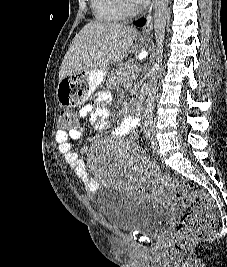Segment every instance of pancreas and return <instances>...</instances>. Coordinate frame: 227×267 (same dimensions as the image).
Returning <instances> with one entry per match:
<instances>
[{
	"label": "pancreas",
	"instance_id": "obj_1",
	"mask_svg": "<svg viewBox=\"0 0 227 267\" xmlns=\"http://www.w3.org/2000/svg\"><path fill=\"white\" fill-rule=\"evenodd\" d=\"M135 78L134 72L127 69H118L109 77V84L120 85Z\"/></svg>",
	"mask_w": 227,
	"mask_h": 267
}]
</instances>
